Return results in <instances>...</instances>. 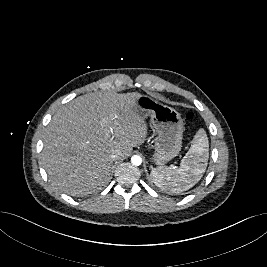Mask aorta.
I'll return each instance as SVG.
<instances>
[{
  "label": "aorta",
  "mask_w": 267,
  "mask_h": 267,
  "mask_svg": "<svg viewBox=\"0 0 267 267\" xmlns=\"http://www.w3.org/2000/svg\"><path fill=\"white\" fill-rule=\"evenodd\" d=\"M131 163L133 165L139 166L142 163V158L139 155H134L131 158Z\"/></svg>",
  "instance_id": "obj_1"
}]
</instances>
